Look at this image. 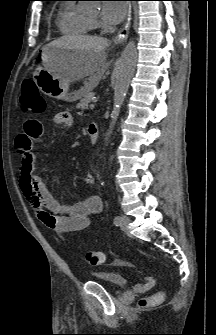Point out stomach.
<instances>
[{"label": "stomach", "mask_w": 216, "mask_h": 335, "mask_svg": "<svg viewBox=\"0 0 216 335\" xmlns=\"http://www.w3.org/2000/svg\"><path fill=\"white\" fill-rule=\"evenodd\" d=\"M77 50L56 46L42 49L43 66L33 75L39 89L49 97L67 102H74L82 97V89L69 92L70 81L60 74L71 62Z\"/></svg>", "instance_id": "1"}]
</instances>
